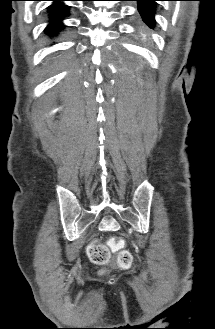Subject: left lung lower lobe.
I'll use <instances>...</instances> for the list:
<instances>
[{
  "label": "left lung lower lobe",
  "instance_id": "1",
  "mask_svg": "<svg viewBox=\"0 0 215 329\" xmlns=\"http://www.w3.org/2000/svg\"><path fill=\"white\" fill-rule=\"evenodd\" d=\"M138 2V11L143 18V21L148 26H153L155 24L154 21V9L156 1L160 0H135Z\"/></svg>",
  "mask_w": 215,
  "mask_h": 329
}]
</instances>
